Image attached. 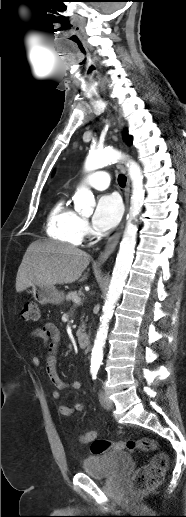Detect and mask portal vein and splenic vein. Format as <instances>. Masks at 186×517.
Returning <instances> with one entry per match:
<instances>
[{
	"instance_id": "18ae733b",
	"label": "portal vein and splenic vein",
	"mask_w": 186,
	"mask_h": 517,
	"mask_svg": "<svg viewBox=\"0 0 186 517\" xmlns=\"http://www.w3.org/2000/svg\"><path fill=\"white\" fill-rule=\"evenodd\" d=\"M73 302L76 304V305H79L80 302H81V299L80 298H74Z\"/></svg>"
}]
</instances>
